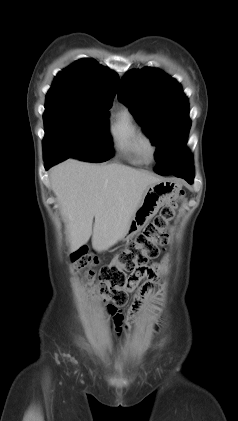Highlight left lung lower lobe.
Returning a JSON list of instances; mask_svg holds the SVG:
<instances>
[{"mask_svg":"<svg viewBox=\"0 0 238 421\" xmlns=\"http://www.w3.org/2000/svg\"><path fill=\"white\" fill-rule=\"evenodd\" d=\"M168 174H173L176 177H180L185 179L188 183H193L194 179V168L193 165H190L186 168L180 169V170H170L166 172Z\"/></svg>","mask_w":238,"mask_h":421,"instance_id":"left-lung-lower-lobe-1","label":"left lung lower lobe"}]
</instances>
